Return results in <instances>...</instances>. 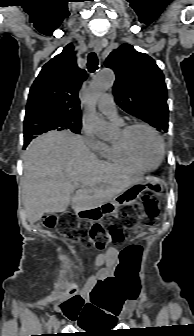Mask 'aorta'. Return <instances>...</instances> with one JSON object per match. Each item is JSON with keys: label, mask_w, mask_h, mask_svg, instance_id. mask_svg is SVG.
I'll list each match as a JSON object with an SVG mask.
<instances>
[{"label": "aorta", "mask_w": 194, "mask_h": 336, "mask_svg": "<svg viewBox=\"0 0 194 336\" xmlns=\"http://www.w3.org/2000/svg\"><path fill=\"white\" fill-rule=\"evenodd\" d=\"M114 72L109 68L102 69L91 81L86 93V114L84 124L102 140L109 141L113 138L115 130L111 124L101 119L95 110L97 100L113 86Z\"/></svg>", "instance_id": "aorta-1"}]
</instances>
